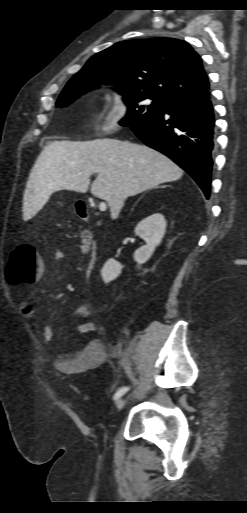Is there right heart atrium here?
Wrapping results in <instances>:
<instances>
[{
    "instance_id": "right-heart-atrium-1",
    "label": "right heart atrium",
    "mask_w": 247,
    "mask_h": 513,
    "mask_svg": "<svg viewBox=\"0 0 247 513\" xmlns=\"http://www.w3.org/2000/svg\"><path fill=\"white\" fill-rule=\"evenodd\" d=\"M129 101L126 94L121 90H113L106 113L101 123V130L104 134L116 132L123 124L129 114Z\"/></svg>"
}]
</instances>
